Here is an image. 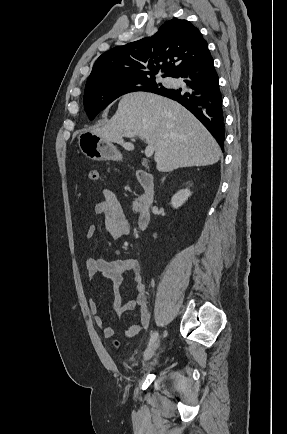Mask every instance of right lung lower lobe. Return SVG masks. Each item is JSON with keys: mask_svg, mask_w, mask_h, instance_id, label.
Listing matches in <instances>:
<instances>
[{"mask_svg": "<svg viewBox=\"0 0 287 434\" xmlns=\"http://www.w3.org/2000/svg\"><path fill=\"white\" fill-rule=\"evenodd\" d=\"M174 78L181 79L186 85L154 93L176 100L186 107L209 130L223 149L225 133L222 96L210 52L182 69Z\"/></svg>", "mask_w": 287, "mask_h": 434, "instance_id": "obj_1", "label": "right lung lower lobe"}]
</instances>
